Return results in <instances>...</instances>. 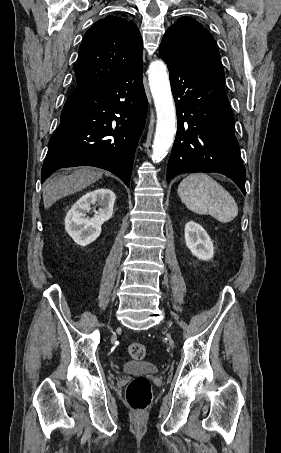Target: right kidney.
Instances as JSON below:
<instances>
[{"mask_svg":"<svg viewBox=\"0 0 281 453\" xmlns=\"http://www.w3.org/2000/svg\"><path fill=\"white\" fill-rule=\"evenodd\" d=\"M115 198L110 188H96L74 202L65 216V229L77 245L86 247L96 241L101 233V224L113 214ZM91 204H100L101 208L94 210L92 218H87L86 212L91 210Z\"/></svg>","mask_w":281,"mask_h":453,"instance_id":"ca27d5eb","label":"right kidney"}]
</instances>
